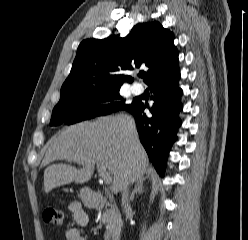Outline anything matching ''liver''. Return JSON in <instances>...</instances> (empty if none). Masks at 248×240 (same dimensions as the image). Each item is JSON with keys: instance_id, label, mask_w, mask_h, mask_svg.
<instances>
[{"instance_id": "6515ba94", "label": "liver", "mask_w": 248, "mask_h": 240, "mask_svg": "<svg viewBox=\"0 0 248 240\" xmlns=\"http://www.w3.org/2000/svg\"><path fill=\"white\" fill-rule=\"evenodd\" d=\"M55 160L75 161L82 167L49 165L44 171L45 193L71 182L83 184L89 181L95 164H99L113 175L112 190L117 194L125 185L143 179L148 165L134 120L124 114L63 129L50 144L43 165Z\"/></svg>"}]
</instances>
